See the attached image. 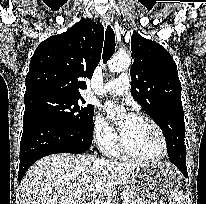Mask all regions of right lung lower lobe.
<instances>
[{"instance_id": "obj_1", "label": "right lung lower lobe", "mask_w": 206, "mask_h": 204, "mask_svg": "<svg viewBox=\"0 0 206 204\" xmlns=\"http://www.w3.org/2000/svg\"><path fill=\"white\" fill-rule=\"evenodd\" d=\"M92 138V127L83 130L40 115L23 118L19 182L35 161L55 153H84L90 148Z\"/></svg>"}]
</instances>
